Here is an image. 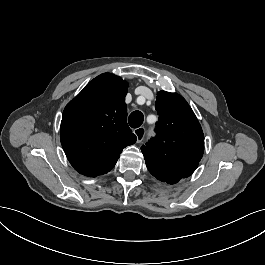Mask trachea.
<instances>
[{
	"mask_svg": "<svg viewBox=\"0 0 265 265\" xmlns=\"http://www.w3.org/2000/svg\"><path fill=\"white\" fill-rule=\"evenodd\" d=\"M143 120H144V115L140 111L132 112L128 118L129 125L135 129L142 125Z\"/></svg>",
	"mask_w": 265,
	"mask_h": 265,
	"instance_id": "3493384b",
	"label": "trachea"
}]
</instances>
